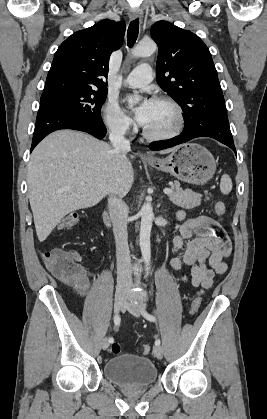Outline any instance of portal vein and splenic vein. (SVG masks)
<instances>
[{
    "mask_svg": "<svg viewBox=\"0 0 267 419\" xmlns=\"http://www.w3.org/2000/svg\"><path fill=\"white\" fill-rule=\"evenodd\" d=\"M172 192H173L172 189H169V188L164 189V193L167 194V195L172 194Z\"/></svg>",
    "mask_w": 267,
    "mask_h": 419,
    "instance_id": "obj_1",
    "label": "portal vein and splenic vein"
}]
</instances>
